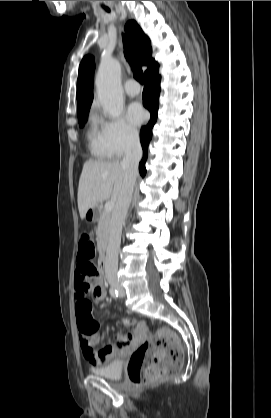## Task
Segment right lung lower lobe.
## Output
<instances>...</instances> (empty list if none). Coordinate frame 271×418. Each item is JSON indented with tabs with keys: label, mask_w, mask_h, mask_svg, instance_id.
<instances>
[{
	"label": "right lung lower lobe",
	"mask_w": 271,
	"mask_h": 418,
	"mask_svg": "<svg viewBox=\"0 0 271 418\" xmlns=\"http://www.w3.org/2000/svg\"><path fill=\"white\" fill-rule=\"evenodd\" d=\"M160 75L158 67L145 74L143 104L150 111L151 118L147 125L143 126L140 132L141 145L143 148V158L139 164V171L142 177L146 174L145 162L148 155V144L152 138V128L157 120L159 93H160Z\"/></svg>",
	"instance_id": "right-lung-lower-lobe-1"
}]
</instances>
